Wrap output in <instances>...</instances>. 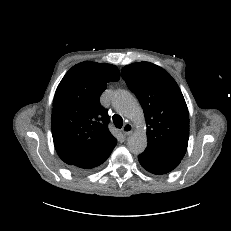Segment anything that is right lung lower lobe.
I'll use <instances>...</instances> for the list:
<instances>
[{
	"label": "right lung lower lobe",
	"instance_id": "obj_1",
	"mask_svg": "<svg viewBox=\"0 0 231 231\" xmlns=\"http://www.w3.org/2000/svg\"><path fill=\"white\" fill-rule=\"evenodd\" d=\"M114 147L95 159L72 162L68 165L70 166L71 169L79 170V171L97 167L107 160V158L110 156L111 152L113 151Z\"/></svg>",
	"mask_w": 231,
	"mask_h": 231
}]
</instances>
